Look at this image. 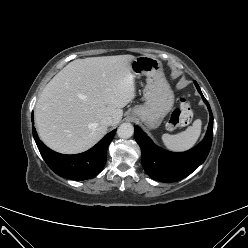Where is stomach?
<instances>
[{"label": "stomach", "mask_w": 248, "mask_h": 248, "mask_svg": "<svg viewBox=\"0 0 248 248\" xmlns=\"http://www.w3.org/2000/svg\"><path fill=\"white\" fill-rule=\"evenodd\" d=\"M130 67L135 76L147 77L144 89L146 102L135 106L130 114L148 128H157L174 104V94L164 77L162 65L155 57L139 56L130 62Z\"/></svg>", "instance_id": "0dacf381"}]
</instances>
